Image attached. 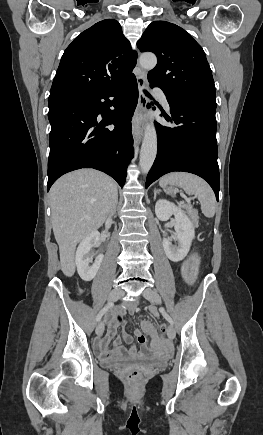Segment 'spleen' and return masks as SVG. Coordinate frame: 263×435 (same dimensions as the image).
I'll return each instance as SVG.
<instances>
[{"label": "spleen", "mask_w": 263, "mask_h": 435, "mask_svg": "<svg viewBox=\"0 0 263 435\" xmlns=\"http://www.w3.org/2000/svg\"><path fill=\"white\" fill-rule=\"evenodd\" d=\"M168 184L180 186L187 194L196 196L206 217L212 218L215 215V195L202 178L191 173L173 172L163 176L159 181V185L163 188Z\"/></svg>", "instance_id": "3e777b00"}]
</instances>
